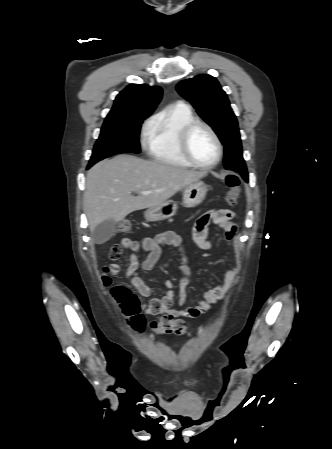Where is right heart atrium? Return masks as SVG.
Instances as JSON below:
<instances>
[{"label":"right heart atrium","mask_w":332,"mask_h":449,"mask_svg":"<svg viewBox=\"0 0 332 449\" xmlns=\"http://www.w3.org/2000/svg\"><path fill=\"white\" fill-rule=\"evenodd\" d=\"M151 121H147L144 123L143 127H142V133L143 135H146L147 133H149L150 131V127H151Z\"/></svg>","instance_id":"d8ad5b80"}]
</instances>
